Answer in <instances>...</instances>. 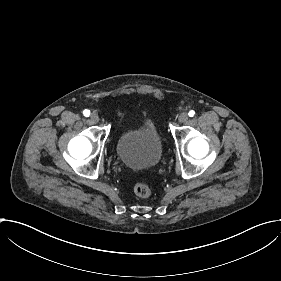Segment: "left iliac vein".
I'll return each mask as SVG.
<instances>
[{
  "label": "left iliac vein",
  "instance_id": "4c4485c4",
  "mask_svg": "<svg viewBox=\"0 0 281 281\" xmlns=\"http://www.w3.org/2000/svg\"><path fill=\"white\" fill-rule=\"evenodd\" d=\"M179 120L181 123H186L188 120V113L186 111H183L180 115H179Z\"/></svg>",
  "mask_w": 281,
  "mask_h": 281
}]
</instances>
